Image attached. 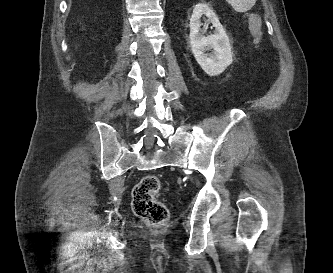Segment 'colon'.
Instances as JSON below:
<instances>
[{
	"instance_id": "5ec220e1",
	"label": "colon",
	"mask_w": 333,
	"mask_h": 273,
	"mask_svg": "<svg viewBox=\"0 0 333 273\" xmlns=\"http://www.w3.org/2000/svg\"><path fill=\"white\" fill-rule=\"evenodd\" d=\"M249 29L259 43L263 39L262 21L258 15L249 17ZM160 179L155 175L143 177L133 188L132 209L151 226H162L169 218L168 208L156 196L160 190Z\"/></svg>"
}]
</instances>
